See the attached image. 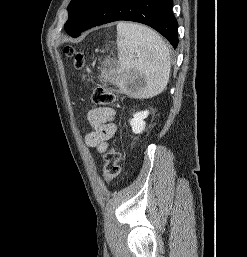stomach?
<instances>
[{"mask_svg":"<svg viewBox=\"0 0 247 257\" xmlns=\"http://www.w3.org/2000/svg\"><path fill=\"white\" fill-rule=\"evenodd\" d=\"M128 86H129V81L126 83V87L128 88Z\"/></svg>","mask_w":247,"mask_h":257,"instance_id":"0dacf381","label":"stomach"}]
</instances>
